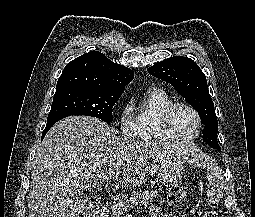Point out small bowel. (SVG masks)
<instances>
[{
	"mask_svg": "<svg viewBox=\"0 0 255 217\" xmlns=\"http://www.w3.org/2000/svg\"><path fill=\"white\" fill-rule=\"evenodd\" d=\"M150 217H176L170 213L162 214L161 209L157 205H152L149 210Z\"/></svg>",
	"mask_w": 255,
	"mask_h": 217,
	"instance_id": "c3829d8e",
	"label": "small bowel"
}]
</instances>
